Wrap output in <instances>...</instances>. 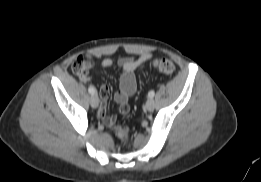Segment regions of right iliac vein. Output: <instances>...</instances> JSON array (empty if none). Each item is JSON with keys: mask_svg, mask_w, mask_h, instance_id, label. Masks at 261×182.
Returning a JSON list of instances; mask_svg holds the SVG:
<instances>
[{"mask_svg": "<svg viewBox=\"0 0 261 182\" xmlns=\"http://www.w3.org/2000/svg\"><path fill=\"white\" fill-rule=\"evenodd\" d=\"M90 104L93 108H96L99 104V98L96 94L91 95Z\"/></svg>", "mask_w": 261, "mask_h": 182, "instance_id": "63e3f726", "label": "right iliac vein"}]
</instances>
